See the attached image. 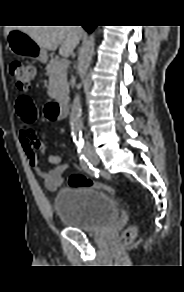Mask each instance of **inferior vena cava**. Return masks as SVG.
I'll return each instance as SVG.
<instances>
[{
  "mask_svg": "<svg viewBox=\"0 0 184 292\" xmlns=\"http://www.w3.org/2000/svg\"><path fill=\"white\" fill-rule=\"evenodd\" d=\"M85 150H89L90 149V143L89 142H85V146H84Z\"/></svg>",
  "mask_w": 184,
  "mask_h": 292,
  "instance_id": "inferior-vena-cava-1",
  "label": "inferior vena cava"
}]
</instances>
